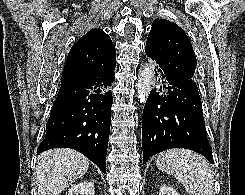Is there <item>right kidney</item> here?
Returning a JSON list of instances; mask_svg holds the SVG:
<instances>
[{"mask_svg": "<svg viewBox=\"0 0 245 195\" xmlns=\"http://www.w3.org/2000/svg\"><path fill=\"white\" fill-rule=\"evenodd\" d=\"M94 193V183L84 181L73 185L66 195H94Z\"/></svg>", "mask_w": 245, "mask_h": 195, "instance_id": "1", "label": "right kidney"}]
</instances>
